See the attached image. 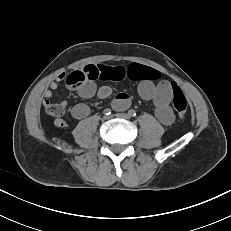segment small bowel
<instances>
[{
	"label": "small bowel",
	"instance_id": "small-bowel-1",
	"mask_svg": "<svg viewBox=\"0 0 231 231\" xmlns=\"http://www.w3.org/2000/svg\"><path fill=\"white\" fill-rule=\"evenodd\" d=\"M145 66L139 64H131L128 67L123 66H106L103 64H89L84 66L79 72L84 76L83 84L78 87V94L84 99H88L97 95L104 99L112 94V89L109 86H102L97 89L94 81L113 80L118 81L125 77H130L139 81L138 93L144 100H151L154 105L155 115L158 120L164 125L173 123L175 116L170 107V102L173 96L171 83L161 81L155 83L147 78L143 72ZM65 74H59L53 81L50 82L48 89L44 92V106L50 104V98L53 92L58 88V83L64 80ZM66 105V102H62ZM115 110H124L130 105V98L126 93H119L112 103ZM90 114V108L83 103L77 104L71 108V115L77 120H82ZM56 126L64 128L67 123L64 120L57 119Z\"/></svg>",
	"mask_w": 231,
	"mask_h": 231
}]
</instances>
